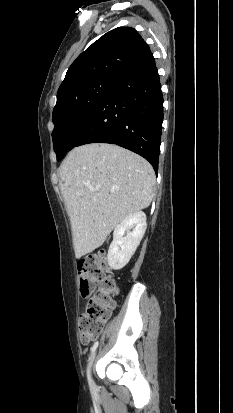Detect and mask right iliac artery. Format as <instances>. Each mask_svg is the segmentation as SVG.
Returning a JSON list of instances; mask_svg holds the SVG:
<instances>
[{
	"instance_id": "82829eb1",
	"label": "right iliac artery",
	"mask_w": 233,
	"mask_h": 413,
	"mask_svg": "<svg viewBox=\"0 0 233 413\" xmlns=\"http://www.w3.org/2000/svg\"><path fill=\"white\" fill-rule=\"evenodd\" d=\"M97 347H98V341L95 342L94 345L92 346V348H91V354H93V353L95 352V350L97 349ZM89 359H90V358H89ZM87 377H88L89 384H91V383H92V380H91V377H90L89 369H87Z\"/></svg>"
}]
</instances>
